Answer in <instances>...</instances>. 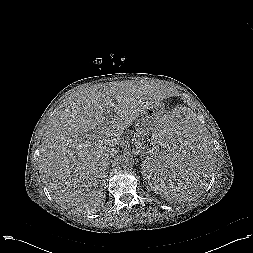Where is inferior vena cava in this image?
I'll list each match as a JSON object with an SVG mask.
<instances>
[{"mask_svg": "<svg viewBox=\"0 0 253 253\" xmlns=\"http://www.w3.org/2000/svg\"><path fill=\"white\" fill-rule=\"evenodd\" d=\"M115 149H116V147H115V146H112V147H111V150H110V151H108V153H107L106 159H108V158H109V156L113 154V152L115 151ZM109 152H110V153H109Z\"/></svg>", "mask_w": 253, "mask_h": 253, "instance_id": "602c4592", "label": "inferior vena cava"}]
</instances>
